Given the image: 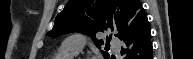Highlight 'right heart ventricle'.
Wrapping results in <instances>:
<instances>
[{"mask_svg":"<svg viewBox=\"0 0 193 59\" xmlns=\"http://www.w3.org/2000/svg\"><path fill=\"white\" fill-rule=\"evenodd\" d=\"M77 53H74L69 50H64L63 48H60L56 54L52 57V59H73V57L76 56Z\"/></svg>","mask_w":193,"mask_h":59,"instance_id":"1","label":"right heart ventricle"}]
</instances>
